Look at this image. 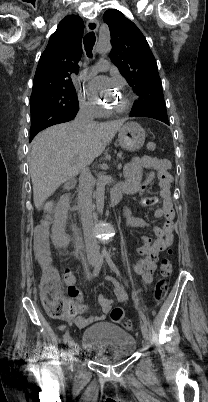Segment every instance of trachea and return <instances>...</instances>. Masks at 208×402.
I'll return each mask as SVG.
<instances>
[{"mask_svg":"<svg viewBox=\"0 0 208 402\" xmlns=\"http://www.w3.org/2000/svg\"><path fill=\"white\" fill-rule=\"evenodd\" d=\"M95 40L96 37L94 32L87 33L83 39L86 54L89 58H92V50L95 44Z\"/></svg>","mask_w":208,"mask_h":402,"instance_id":"trachea-1","label":"trachea"}]
</instances>
